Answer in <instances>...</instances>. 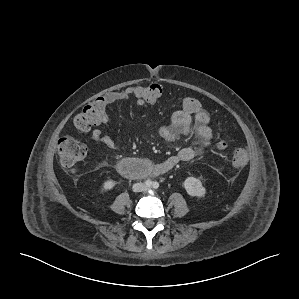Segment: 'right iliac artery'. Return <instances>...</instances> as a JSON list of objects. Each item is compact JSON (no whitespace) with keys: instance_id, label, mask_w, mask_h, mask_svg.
Returning <instances> with one entry per match:
<instances>
[{"instance_id":"right-iliac-artery-1","label":"right iliac artery","mask_w":299,"mask_h":299,"mask_svg":"<svg viewBox=\"0 0 299 299\" xmlns=\"http://www.w3.org/2000/svg\"><path fill=\"white\" fill-rule=\"evenodd\" d=\"M145 184H146L147 186H151V185H152V181H151V180H146V181H145Z\"/></svg>"}]
</instances>
